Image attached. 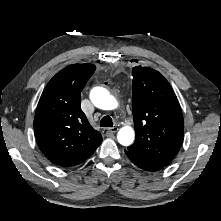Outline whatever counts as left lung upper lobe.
Wrapping results in <instances>:
<instances>
[{"label": "left lung upper lobe", "instance_id": "5c2ea615", "mask_svg": "<svg viewBox=\"0 0 221 221\" xmlns=\"http://www.w3.org/2000/svg\"><path fill=\"white\" fill-rule=\"evenodd\" d=\"M132 76L136 140L127 150L166 166L183 141L184 121L179 102L158 71L137 66L132 69Z\"/></svg>", "mask_w": 221, "mask_h": 221}]
</instances>
